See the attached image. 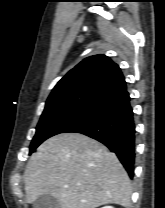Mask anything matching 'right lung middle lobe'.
Masks as SVG:
<instances>
[{
	"instance_id": "1",
	"label": "right lung middle lobe",
	"mask_w": 165,
	"mask_h": 208,
	"mask_svg": "<svg viewBox=\"0 0 165 208\" xmlns=\"http://www.w3.org/2000/svg\"><path fill=\"white\" fill-rule=\"evenodd\" d=\"M94 107L90 104H60L45 107L36 127V134L30 145V152L46 139L63 133L66 129L84 118Z\"/></svg>"
}]
</instances>
